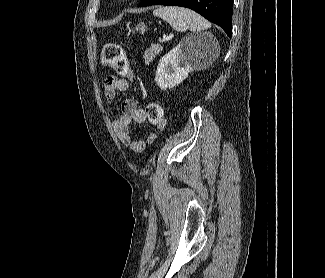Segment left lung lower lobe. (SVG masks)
Returning a JSON list of instances; mask_svg holds the SVG:
<instances>
[{
    "label": "left lung lower lobe",
    "mask_w": 325,
    "mask_h": 278,
    "mask_svg": "<svg viewBox=\"0 0 325 278\" xmlns=\"http://www.w3.org/2000/svg\"><path fill=\"white\" fill-rule=\"evenodd\" d=\"M232 4L233 0H142L138 7L171 5L190 8L222 27L226 34L231 37Z\"/></svg>",
    "instance_id": "obj_1"
}]
</instances>
